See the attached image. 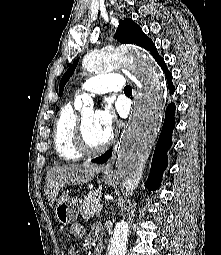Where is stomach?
Instances as JSON below:
<instances>
[{
	"label": "stomach",
	"mask_w": 221,
	"mask_h": 255,
	"mask_svg": "<svg viewBox=\"0 0 221 255\" xmlns=\"http://www.w3.org/2000/svg\"><path fill=\"white\" fill-rule=\"evenodd\" d=\"M103 181L107 185H113L115 183V176L104 174ZM80 208L81 200L64 192L55 203L54 215L59 223L68 225L77 220Z\"/></svg>",
	"instance_id": "0dacf381"
}]
</instances>
